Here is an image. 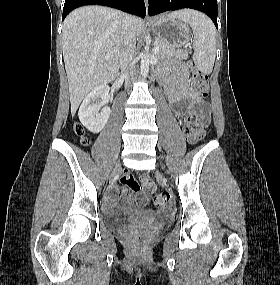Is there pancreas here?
<instances>
[{
	"label": "pancreas",
	"mask_w": 280,
	"mask_h": 285,
	"mask_svg": "<svg viewBox=\"0 0 280 285\" xmlns=\"http://www.w3.org/2000/svg\"><path fill=\"white\" fill-rule=\"evenodd\" d=\"M155 46L159 47V52L156 53V56L159 59H168V58H178V59H187L188 52L183 49H177L175 46L170 44L169 42L157 38L155 41Z\"/></svg>",
	"instance_id": "1"
}]
</instances>
